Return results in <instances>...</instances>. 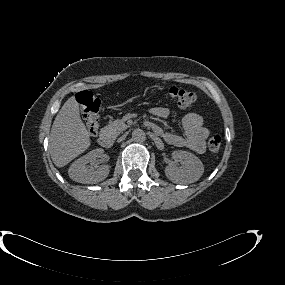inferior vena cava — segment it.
I'll return each mask as SVG.
<instances>
[{
  "label": "inferior vena cava",
  "instance_id": "1",
  "mask_svg": "<svg viewBox=\"0 0 285 285\" xmlns=\"http://www.w3.org/2000/svg\"><path fill=\"white\" fill-rule=\"evenodd\" d=\"M116 143L119 144V145H122L124 143V140L122 137H117L116 138Z\"/></svg>",
  "mask_w": 285,
  "mask_h": 285
}]
</instances>
